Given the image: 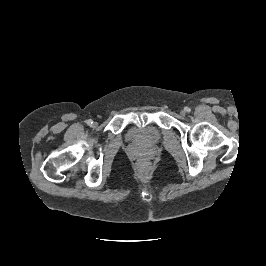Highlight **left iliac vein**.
I'll return each mask as SVG.
<instances>
[{
    "label": "left iliac vein",
    "mask_w": 266,
    "mask_h": 266,
    "mask_svg": "<svg viewBox=\"0 0 266 266\" xmlns=\"http://www.w3.org/2000/svg\"><path fill=\"white\" fill-rule=\"evenodd\" d=\"M185 114H186V113H185L184 110H181V111H180V115H181V116H185Z\"/></svg>",
    "instance_id": "4c4485c4"
}]
</instances>
